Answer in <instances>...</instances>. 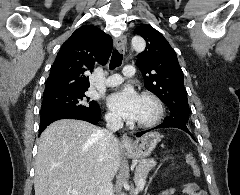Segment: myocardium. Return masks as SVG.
I'll return each mask as SVG.
<instances>
[{
    "instance_id": "1",
    "label": "myocardium",
    "mask_w": 240,
    "mask_h": 195,
    "mask_svg": "<svg viewBox=\"0 0 240 195\" xmlns=\"http://www.w3.org/2000/svg\"><path fill=\"white\" fill-rule=\"evenodd\" d=\"M142 99L149 100L154 107V113L152 117L146 121L138 122L133 125L134 129H150L157 125L162 118L164 108L160 98L152 92L145 91L141 94Z\"/></svg>"
}]
</instances>
